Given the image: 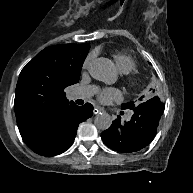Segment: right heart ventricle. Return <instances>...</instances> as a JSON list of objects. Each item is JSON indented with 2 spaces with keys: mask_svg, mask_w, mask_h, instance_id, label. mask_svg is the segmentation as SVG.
Returning a JSON list of instances; mask_svg holds the SVG:
<instances>
[{
  "mask_svg": "<svg viewBox=\"0 0 193 193\" xmlns=\"http://www.w3.org/2000/svg\"><path fill=\"white\" fill-rule=\"evenodd\" d=\"M113 57L115 60L116 68L122 75L129 74L136 67L135 60L127 54L115 53L113 54Z\"/></svg>",
  "mask_w": 193,
  "mask_h": 193,
  "instance_id": "right-heart-ventricle-1",
  "label": "right heart ventricle"
}]
</instances>
